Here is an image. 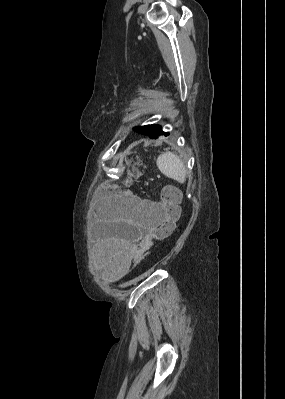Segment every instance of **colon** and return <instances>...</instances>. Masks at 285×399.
<instances>
[{
    "mask_svg": "<svg viewBox=\"0 0 285 399\" xmlns=\"http://www.w3.org/2000/svg\"><path fill=\"white\" fill-rule=\"evenodd\" d=\"M164 202L159 209L164 213V222L155 230L152 237H148L135 246V255L137 259L146 256L152 246L154 239H163L169 236L175 228L176 222L179 218V196L171 188H166L163 191Z\"/></svg>",
    "mask_w": 285,
    "mask_h": 399,
    "instance_id": "obj_1",
    "label": "colon"
}]
</instances>
